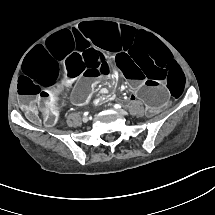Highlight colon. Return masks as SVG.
I'll use <instances>...</instances> for the list:
<instances>
[{
    "instance_id": "obj_1",
    "label": "colon",
    "mask_w": 215,
    "mask_h": 215,
    "mask_svg": "<svg viewBox=\"0 0 215 215\" xmlns=\"http://www.w3.org/2000/svg\"><path fill=\"white\" fill-rule=\"evenodd\" d=\"M41 105L43 106V108L45 109V105H47L46 102H42ZM48 110L46 111L45 109V112H46V124L48 126H52L56 123L57 121V118H58V113H57V110L51 106V105H48ZM29 118L31 119H35V115L33 112H29L28 114Z\"/></svg>"
}]
</instances>
